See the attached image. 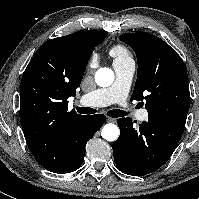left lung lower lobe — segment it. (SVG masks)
I'll use <instances>...</instances> for the list:
<instances>
[{
    "mask_svg": "<svg viewBox=\"0 0 199 199\" xmlns=\"http://www.w3.org/2000/svg\"><path fill=\"white\" fill-rule=\"evenodd\" d=\"M120 136L113 143L117 168L128 175L142 176L159 169L173 154L184 128L148 117L133 127L131 118L117 120Z\"/></svg>",
    "mask_w": 199,
    "mask_h": 199,
    "instance_id": "1",
    "label": "left lung lower lobe"
}]
</instances>
